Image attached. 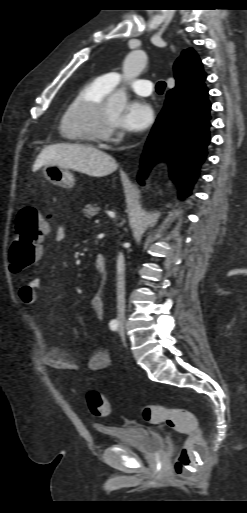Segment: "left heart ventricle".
Segmentation results:
<instances>
[{"label":"left heart ventricle","mask_w":247,"mask_h":513,"mask_svg":"<svg viewBox=\"0 0 247 513\" xmlns=\"http://www.w3.org/2000/svg\"><path fill=\"white\" fill-rule=\"evenodd\" d=\"M118 110L115 109L112 105L110 104H107L106 105V109H105V115H106V118L111 121V122H115V120L117 119L118 117Z\"/></svg>","instance_id":"b2bd125f"}]
</instances>
